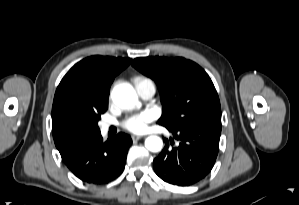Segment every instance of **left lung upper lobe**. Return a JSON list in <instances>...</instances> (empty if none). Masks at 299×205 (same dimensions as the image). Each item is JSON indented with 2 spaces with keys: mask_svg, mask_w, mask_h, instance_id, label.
Listing matches in <instances>:
<instances>
[{
  "mask_svg": "<svg viewBox=\"0 0 299 205\" xmlns=\"http://www.w3.org/2000/svg\"><path fill=\"white\" fill-rule=\"evenodd\" d=\"M132 65L152 78L164 105L158 123L178 128L209 121H221V107L208 74L196 63L182 57H145Z\"/></svg>",
  "mask_w": 299,
  "mask_h": 205,
  "instance_id": "left-lung-upper-lobe-1",
  "label": "left lung upper lobe"
}]
</instances>
